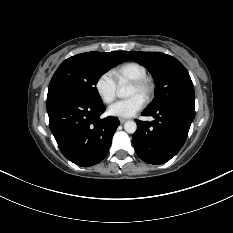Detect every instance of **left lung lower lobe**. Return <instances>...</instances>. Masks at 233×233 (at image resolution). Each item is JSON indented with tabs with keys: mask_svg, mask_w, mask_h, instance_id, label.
Instances as JSON below:
<instances>
[{
	"mask_svg": "<svg viewBox=\"0 0 233 233\" xmlns=\"http://www.w3.org/2000/svg\"><path fill=\"white\" fill-rule=\"evenodd\" d=\"M142 115L153 116L155 120H137L138 129L132 137L134 149L147 163H166L184 145L195 117V109L182 104H171L157 109L146 108Z\"/></svg>",
	"mask_w": 233,
	"mask_h": 233,
	"instance_id": "left-lung-lower-lobe-1",
	"label": "left lung lower lobe"
}]
</instances>
